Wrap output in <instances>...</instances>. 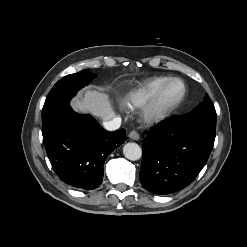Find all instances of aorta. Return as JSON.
I'll return each instance as SVG.
<instances>
[{"label":"aorta","mask_w":247,"mask_h":247,"mask_svg":"<svg viewBox=\"0 0 247 247\" xmlns=\"http://www.w3.org/2000/svg\"><path fill=\"white\" fill-rule=\"evenodd\" d=\"M123 154L127 159L131 161H136L141 158L142 149L138 144L129 142L124 145Z\"/></svg>","instance_id":"obj_1"}]
</instances>
